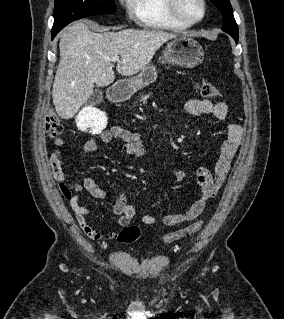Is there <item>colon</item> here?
<instances>
[{
  "label": "colon",
  "mask_w": 284,
  "mask_h": 319,
  "mask_svg": "<svg viewBox=\"0 0 284 319\" xmlns=\"http://www.w3.org/2000/svg\"><path fill=\"white\" fill-rule=\"evenodd\" d=\"M198 90L200 94L206 98H218L220 96V92L218 88L213 85L212 83L201 80L198 84ZM64 130L63 123L59 120V118L54 115L50 114L45 119V131L49 137L54 138L61 134ZM203 226V221L198 220L188 226L185 229H181L179 231H175L169 233L163 237L164 243H171L177 239L190 236L197 231H199ZM140 237V230L136 226H128L121 230L118 234V240L122 243H132L136 241Z\"/></svg>",
  "instance_id": "5ec220e1"
}]
</instances>
